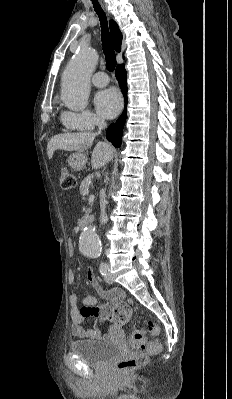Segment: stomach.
Masks as SVG:
<instances>
[{"label": "stomach", "mask_w": 232, "mask_h": 399, "mask_svg": "<svg viewBox=\"0 0 232 399\" xmlns=\"http://www.w3.org/2000/svg\"><path fill=\"white\" fill-rule=\"evenodd\" d=\"M87 156L86 154H81V152H77V154H71L68 158V164L73 168V170H77V172H80V170H84L86 168L87 164Z\"/></svg>", "instance_id": "0dacf381"}]
</instances>
